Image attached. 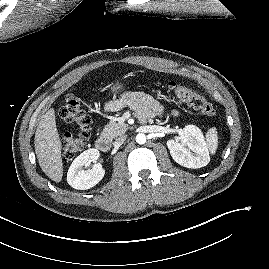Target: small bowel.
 I'll return each mask as SVG.
<instances>
[{
  "mask_svg": "<svg viewBox=\"0 0 269 269\" xmlns=\"http://www.w3.org/2000/svg\"><path fill=\"white\" fill-rule=\"evenodd\" d=\"M128 106L133 109L141 121H146L164 111L161 103L149 94L141 91H130L124 93L119 99L106 104L107 111H114ZM177 115V111L172 112Z\"/></svg>",
  "mask_w": 269,
  "mask_h": 269,
  "instance_id": "1",
  "label": "small bowel"
}]
</instances>
